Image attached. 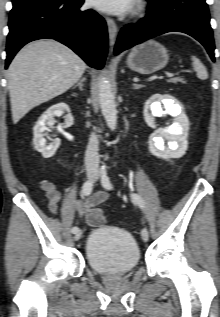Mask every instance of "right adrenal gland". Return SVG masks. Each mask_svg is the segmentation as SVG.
I'll list each match as a JSON object with an SVG mask.
<instances>
[{
  "label": "right adrenal gland",
  "instance_id": "obj_1",
  "mask_svg": "<svg viewBox=\"0 0 220 317\" xmlns=\"http://www.w3.org/2000/svg\"><path fill=\"white\" fill-rule=\"evenodd\" d=\"M86 81V78L85 77H82L78 83L73 87L76 88V87H79V89L82 91L83 90V83Z\"/></svg>",
  "mask_w": 220,
  "mask_h": 317
}]
</instances>
